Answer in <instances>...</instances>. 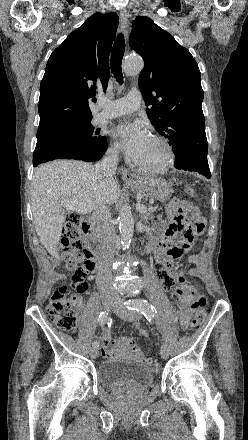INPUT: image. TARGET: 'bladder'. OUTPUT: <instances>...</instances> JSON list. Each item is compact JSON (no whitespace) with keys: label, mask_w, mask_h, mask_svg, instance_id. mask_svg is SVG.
<instances>
[{"label":"bladder","mask_w":248,"mask_h":440,"mask_svg":"<svg viewBox=\"0 0 248 440\" xmlns=\"http://www.w3.org/2000/svg\"><path fill=\"white\" fill-rule=\"evenodd\" d=\"M98 382L113 390H143L154 381V370L145 364L124 359L102 361L96 370Z\"/></svg>","instance_id":"obj_1"}]
</instances>
